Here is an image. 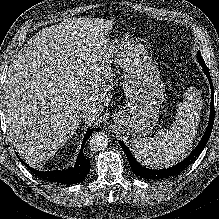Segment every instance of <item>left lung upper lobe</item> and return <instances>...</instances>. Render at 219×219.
<instances>
[{
	"instance_id": "obj_1",
	"label": "left lung upper lobe",
	"mask_w": 219,
	"mask_h": 219,
	"mask_svg": "<svg viewBox=\"0 0 219 219\" xmlns=\"http://www.w3.org/2000/svg\"><path fill=\"white\" fill-rule=\"evenodd\" d=\"M197 59H202L203 60V58H202V56L200 54V51L197 52Z\"/></svg>"
}]
</instances>
